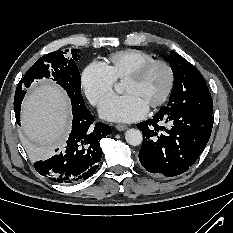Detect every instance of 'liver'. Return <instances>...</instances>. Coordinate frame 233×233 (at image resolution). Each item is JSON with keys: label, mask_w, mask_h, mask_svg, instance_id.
Segmentation results:
<instances>
[{"label": "liver", "mask_w": 233, "mask_h": 233, "mask_svg": "<svg viewBox=\"0 0 233 233\" xmlns=\"http://www.w3.org/2000/svg\"><path fill=\"white\" fill-rule=\"evenodd\" d=\"M21 117L24 133L35 144L29 155L38 160L68 134L70 103L60 87L43 83L25 97Z\"/></svg>", "instance_id": "obj_1"}]
</instances>
